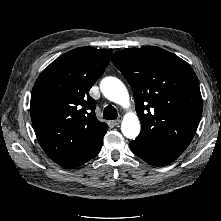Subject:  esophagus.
<instances>
[{
	"label": "esophagus",
	"instance_id": "34e87169",
	"mask_svg": "<svg viewBox=\"0 0 221 221\" xmlns=\"http://www.w3.org/2000/svg\"><path fill=\"white\" fill-rule=\"evenodd\" d=\"M121 121H122V117H119L118 119L113 121V125L118 126L121 123Z\"/></svg>",
	"mask_w": 221,
	"mask_h": 221
}]
</instances>
